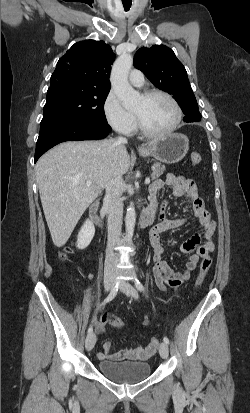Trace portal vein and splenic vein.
Segmentation results:
<instances>
[{
    "instance_id": "portal-vein-and-splenic-vein-1",
    "label": "portal vein and splenic vein",
    "mask_w": 250,
    "mask_h": 413,
    "mask_svg": "<svg viewBox=\"0 0 250 413\" xmlns=\"http://www.w3.org/2000/svg\"><path fill=\"white\" fill-rule=\"evenodd\" d=\"M149 183H150V179H149V178H146L145 184L148 185ZM91 184H92V180H88V181L86 182V186H90Z\"/></svg>"
}]
</instances>
